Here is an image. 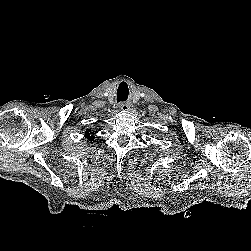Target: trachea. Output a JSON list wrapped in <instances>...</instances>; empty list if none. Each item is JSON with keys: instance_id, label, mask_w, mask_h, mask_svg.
Segmentation results:
<instances>
[{"instance_id": "1", "label": "trachea", "mask_w": 251, "mask_h": 251, "mask_svg": "<svg viewBox=\"0 0 251 251\" xmlns=\"http://www.w3.org/2000/svg\"><path fill=\"white\" fill-rule=\"evenodd\" d=\"M127 96L128 94H124V93H117V102H123L127 100Z\"/></svg>"}]
</instances>
